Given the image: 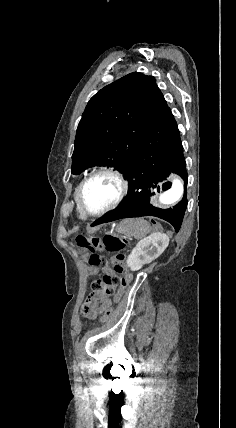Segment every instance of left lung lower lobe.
<instances>
[{
  "mask_svg": "<svg viewBox=\"0 0 236 428\" xmlns=\"http://www.w3.org/2000/svg\"><path fill=\"white\" fill-rule=\"evenodd\" d=\"M173 172L187 183L185 158L177 123L168 108L144 134L129 161L124 175L128 180V193L121 205L91 224L96 226L123 218L156 216L180 229L187 207L186 186L184 198L173 208L160 209L150 205L155 191L167 190V179Z\"/></svg>",
  "mask_w": 236,
  "mask_h": 428,
  "instance_id": "0a47b994",
  "label": "left lung lower lobe"
}]
</instances>
